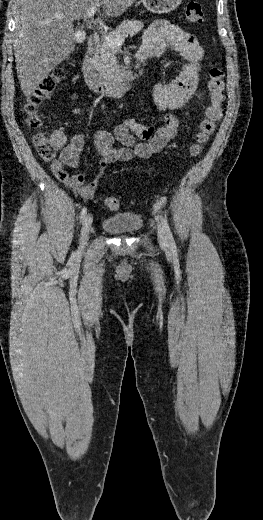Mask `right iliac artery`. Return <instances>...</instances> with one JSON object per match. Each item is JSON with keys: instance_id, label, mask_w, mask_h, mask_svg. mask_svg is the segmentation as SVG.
<instances>
[{"instance_id": "82829eb1", "label": "right iliac artery", "mask_w": 263, "mask_h": 520, "mask_svg": "<svg viewBox=\"0 0 263 520\" xmlns=\"http://www.w3.org/2000/svg\"><path fill=\"white\" fill-rule=\"evenodd\" d=\"M87 213V209L84 207L80 213V220L81 222L83 221V219L85 218V215Z\"/></svg>"}]
</instances>
